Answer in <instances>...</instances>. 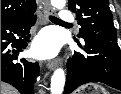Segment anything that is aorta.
Listing matches in <instances>:
<instances>
[{"label":"aorta","mask_w":121,"mask_h":94,"mask_svg":"<svg viewBox=\"0 0 121 94\" xmlns=\"http://www.w3.org/2000/svg\"><path fill=\"white\" fill-rule=\"evenodd\" d=\"M51 5L57 9H63L66 5V0H51ZM65 85L64 70L58 68L55 70L51 78V94H62Z\"/></svg>","instance_id":"aorta-1"}]
</instances>
